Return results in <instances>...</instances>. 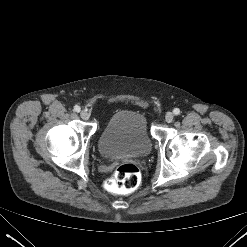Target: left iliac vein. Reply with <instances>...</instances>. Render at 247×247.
<instances>
[{
	"instance_id": "4c4485c4",
	"label": "left iliac vein",
	"mask_w": 247,
	"mask_h": 247,
	"mask_svg": "<svg viewBox=\"0 0 247 247\" xmlns=\"http://www.w3.org/2000/svg\"><path fill=\"white\" fill-rule=\"evenodd\" d=\"M174 119V115L172 112H167L165 115V120L167 123H171Z\"/></svg>"
}]
</instances>
